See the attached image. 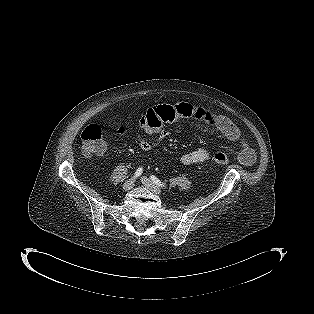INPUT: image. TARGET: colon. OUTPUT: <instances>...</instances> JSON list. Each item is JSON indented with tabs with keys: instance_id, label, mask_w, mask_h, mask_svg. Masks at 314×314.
Segmentation results:
<instances>
[{
	"instance_id": "colon-1",
	"label": "colon",
	"mask_w": 314,
	"mask_h": 314,
	"mask_svg": "<svg viewBox=\"0 0 314 314\" xmlns=\"http://www.w3.org/2000/svg\"><path fill=\"white\" fill-rule=\"evenodd\" d=\"M82 149L87 156H96L103 154L106 145L104 142V132L101 126L97 124H91L87 126L81 134ZM214 162L226 165L229 163V157L222 152H214L212 154Z\"/></svg>"
}]
</instances>
